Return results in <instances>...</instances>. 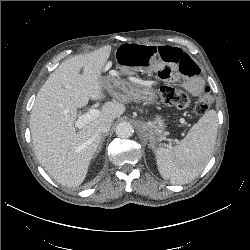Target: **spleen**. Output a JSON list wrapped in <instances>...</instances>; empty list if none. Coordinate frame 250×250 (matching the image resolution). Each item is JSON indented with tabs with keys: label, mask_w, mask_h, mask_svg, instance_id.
Wrapping results in <instances>:
<instances>
[{
	"label": "spleen",
	"mask_w": 250,
	"mask_h": 250,
	"mask_svg": "<svg viewBox=\"0 0 250 250\" xmlns=\"http://www.w3.org/2000/svg\"><path fill=\"white\" fill-rule=\"evenodd\" d=\"M217 129V113L209 110L179 144L170 148H157L154 152L161 176L173 184H186L197 177L214 151Z\"/></svg>",
	"instance_id": "spleen-1"
}]
</instances>
